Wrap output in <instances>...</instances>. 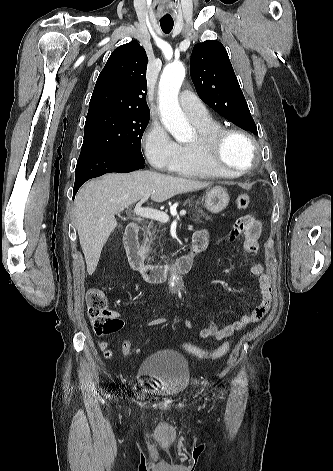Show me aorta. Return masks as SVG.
Masks as SVG:
<instances>
[{
	"instance_id": "1",
	"label": "aorta",
	"mask_w": 333,
	"mask_h": 471,
	"mask_svg": "<svg viewBox=\"0 0 333 471\" xmlns=\"http://www.w3.org/2000/svg\"><path fill=\"white\" fill-rule=\"evenodd\" d=\"M184 78V65L181 62L171 63L162 72L158 91L161 121L178 142H186L192 135V128L178 103Z\"/></svg>"
}]
</instances>
